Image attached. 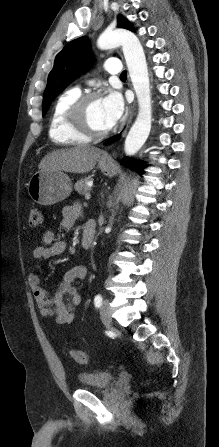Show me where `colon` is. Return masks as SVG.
<instances>
[{"mask_svg": "<svg viewBox=\"0 0 219 447\" xmlns=\"http://www.w3.org/2000/svg\"><path fill=\"white\" fill-rule=\"evenodd\" d=\"M42 223V213L37 205H32L29 208V225L31 227H38ZM71 357L79 364H86L88 356L84 351L71 349L69 351Z\"/></svg>", "mask_w": 219, "mask_h": 447, "instance_id": "1", "label": "colon"}]
</instances>
